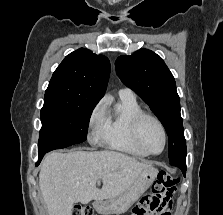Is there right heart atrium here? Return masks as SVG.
I'll return each mask as SVG.
<instances>
[{
    "label": "right heart atrium",
    "mask_w": 223,
    "mask_h": 215,
    "mask_svg": "<svg viewBox=\"0 0 223 215\" xmlns=\"http://www.w3.org/2000/svg\"><path fill=\"white\" fill-rule=\"evenodd\" d=\"M105 125V108L104 105L98 103L91 111L88 128L92 130L93 137L97 139L98 133L103 129Z\"/></svg>",
    "instance_id": "d8ad5b80"
}]
</instances>
